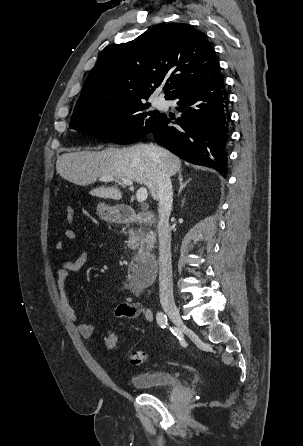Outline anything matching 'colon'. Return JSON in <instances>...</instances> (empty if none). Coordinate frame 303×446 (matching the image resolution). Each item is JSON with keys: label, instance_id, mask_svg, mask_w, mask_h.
<instances>
[{"label": "colon", "instance_id": "5ec220e1", "mask_svg": "<svg viewBox=\"0 0 303 446\" xmlns=\"http://www.w3.org/2000/svg\"><path fill=\"white\" fill-rule=\"evenodd\" d=\"M74 211L71 207L66 208V219L68 223L73 221ZM104 343L109 349H115L118 345V338L116 334L112 331H109L104 336ZM146 359V354L142 350H133L129 354V361L133 365H140Z\"/></svg>", "mask_w": 303, "mask_h": 446}]
</instances>
